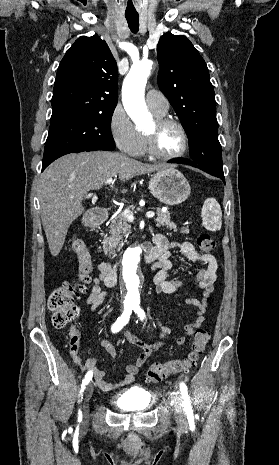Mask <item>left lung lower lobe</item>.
I'll return each instance as SVG.
<instances>
[{"mask_svg":"<svg viewBox=\"0 0 279 465\" xmlns=\"http://www.w3.org/2000/svg\"><path fill=\"white\" fill-rule=\"evenodd\" d=\"M169 162H171V163L188 164V165H191V166H193V167H197V168H199V169H201V170L207 172L205 169H203V168H202L201 166H199L198 164H195V163H193V162H191V161H188V160L173 159V160H170ZM207 173H209V172H207ZM209 174H211V173H209ZM211 175H212V174H211ZM219 178H221V179L224 181V177H223V176H220ZM224 184H225V181H224Z\"/></svg>","mask_w":279,"mask_h":465,"instance_id":"obj_1","label":"left lung lower lobe"}]
</instances>
